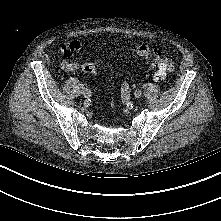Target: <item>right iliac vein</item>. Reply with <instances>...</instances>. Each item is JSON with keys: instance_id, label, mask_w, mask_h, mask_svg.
<instances>
[{"instance_id": "right-iliac-vein-1", "label": "right iliac vein", "mask_w": 221, "mask_h": 221, "mask_svg": "<svg viewBox=\"0 0 221 221\" xmlns=\"http://www.w3.org/2000/svg\"><path fill=\"white\" fill-rule=\"evenodd\" d=\"M86 93H87V89H85V88L82 87L81 94H82L85 98L87 97Z\"/></svg>"}]
</instances>
